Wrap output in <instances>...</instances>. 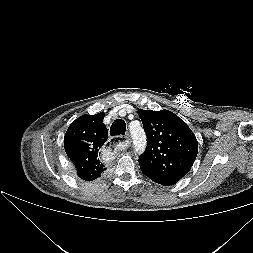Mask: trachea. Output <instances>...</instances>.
Masks as SVG:
<instances>
[{
    "label": "trachea",
    "instance_id": "3493384b",
    "mask_svg": "<svg viewBox=\"0 0 253 253\" xmlns=\"http://www.w3.org/2000/svg\"><path fill=\"white\" fill-rule=\"evenodd\" d=\"M125 131H126V124L122 119L115 120L110 127L111 136L124 135Z\"/></svg>",
    "mask_w": 253,
    "mask_h": 253
}]
</instances>
